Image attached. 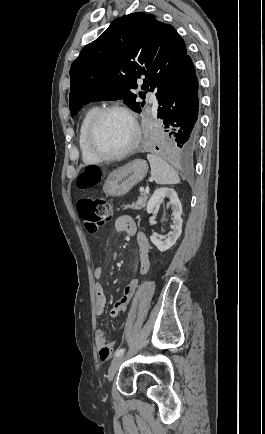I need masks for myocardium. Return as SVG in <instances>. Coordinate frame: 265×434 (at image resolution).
<instances>
[{
  "label": "myocardium",
  "mask_w": 265,
  "mask_h": 434,
  "mask_svg": "<svg viewBox=\"0 0 265 434\" xmlns=\"http://www.w3.org/2000/svg\"><path fill=\"white\" fill-rule=\"evenodd\" d=\"M114 111H119L124 114H126L129 119L131 120L133 127H134V138L131 143V145L124 151L120 153H109L107 152L100 144L99 142V133H100V124L103 119V117ZM141 139V129L138 124L137 118L134 115V113L126 106L120 105V104H113V105H106L101 108H99L96 113L94 114L90 129H89V135H88V144L93 152L94 155H96L98 158H100L102 161H118L121 160L129 155H131L139 146Z\"/></svg>",
  "instance_id": "myocardium-1"
}]
</instances>
